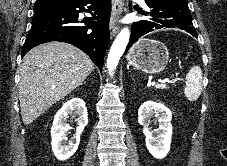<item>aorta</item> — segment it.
Masks as SVG:
<instances>
[{
	"mask_svg": "<svg viewBox=\"0 0 227 166\" xmlns=\"http://www.w3.org/2000/svg\"><path fill=\"white\" fill-rule=\"evenodd\" d=\"M130 38L128 28H123L114 40L107 58V69L111 74L117 67Z\"/></svg>",
	"mask_w": 227,
	"mask_h": 166,
	"instance_id": "obj_1",
	"label": "aorta"
}]
</instances>
